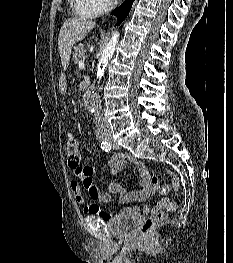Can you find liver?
<instances>
[{"label": "liver", "mask_w": 233, "mask_h": 263, "mask_svg": "<svg viewBox=\"0 0 233 263\" xmlns=\"http://www.w3.org/2000/svg\"><path fill=\"white\" fill-rule=\"evenodd\" d=\"M94 22L84 18L67 19L61 27L58 38V50L63 69L69 66L71 50L76 42L82 41L94 27Z\"/></svg>", "instance_id": "obj_1"}]
</instances>
